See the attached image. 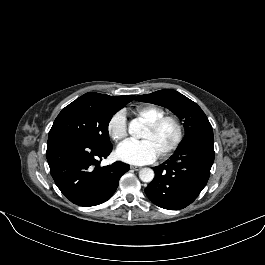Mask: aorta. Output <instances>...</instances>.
Masks as SVG:
<instances>
[{
  "mask_svg": "<svg viewBox=\"0 0 265 265\" xmlns=\"http://www.w3.org/2000/svg\"><path fill=\"white\" fill-rule=\"evenodd\" d=\"M128 132L133 137H138L141 132V124L134 120L129 124ZM139 178L143 182H151L154 178V171L150 168H142L139 171Z\"/></svg>",
  "mask_w": 265,
  "mask_h": 265,
  "instance_id": "1",
  "label": "aorta"
}]
</instances>
